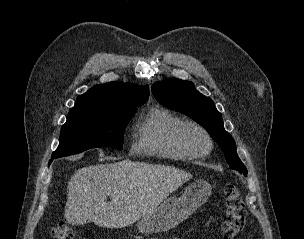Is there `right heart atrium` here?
Here are the masks:
<instances>
[{"label":"right heart atrium","instance_id":"1","mask_svg":"<svg viewBox=\"0 0 304 239\" xmlns=\"http://www.w3.org/2000/svg\"><path fill=\"white\" fill-rule=\"evenodd\" d=\"M132 147H133V148H137V140H133V142H132Z\"/></svg>","mask_w":304,"mask_h":239}]
</instances>
